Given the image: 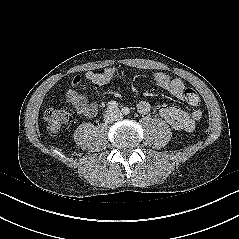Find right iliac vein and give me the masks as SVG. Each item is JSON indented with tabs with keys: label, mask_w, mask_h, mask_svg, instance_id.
I'll return each instance as SVG.
<instances>
[{
	"label": "right iliac vein",
	"mask_w": 239,
	"mask_h": 239,
	"mask_svg": "<svg viewBox=\"0 0 239 239\" xmlns=\"http://www.w3.org/2000/svg\"><path fill=\"white\" fill-rule=\"evenodd\" d=\"M106 120H107V121L111 120V117H110L109 114L106 115Z\"/></svg>",
	"instance_id": "63e3f726"
}]
</instances>
